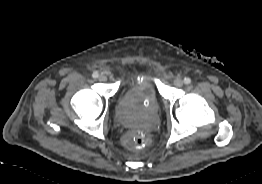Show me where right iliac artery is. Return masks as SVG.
Listing matches in <instances>:
<instances>
[{"instance_id":"right-iliac-artery-1","label":"right iliac artery","mask_w":262,"mask_h":184,"mask_svg":"<svg viewBox=\"0 0 262 184\" xmlns=\"http://www.w3.org/2000/svg\"><path fill=\"white\" fill-rule=\"evenodd\" d=\"M98 76H99L98 72H93V74H92L93 78H98Z\"/></svg>"}]
</instances>
